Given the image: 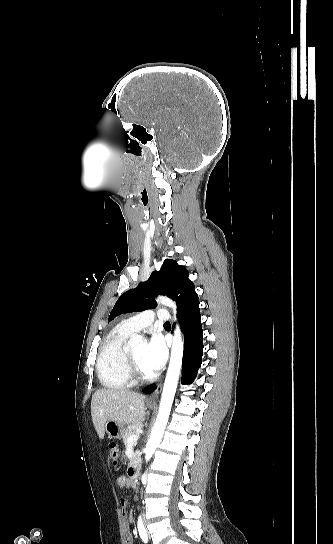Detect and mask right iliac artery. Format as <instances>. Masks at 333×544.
I'll use <instances>...</instances> for the list:
<instances>
[{
  "mask_svg": "<svg viewBox=\"0 0 333 544\" xmlns=\"http://www.w3.org/2000/svg\"><path fill=\"white\" fill-rule=\"evenodd\" d=\"M137 526H138L139 535H140L142 541L147 543L148 542V537H147V533H146V530H145V527H144V524L142 522L141 517H139V519H138V525Z\"/></svg>",
  "mask_w": 333,
  "mask_h": 544,
  "instance_id": "1",
  "label": "right iliac artery"
}]
</instances>
